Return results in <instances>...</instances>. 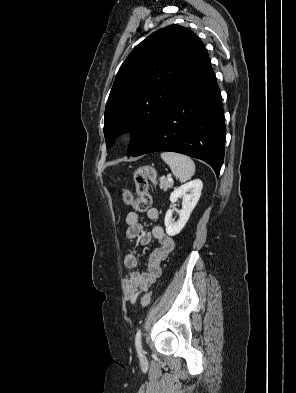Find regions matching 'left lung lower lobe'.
Listing matches in <instances>:
<instances>
[{
  "label": "left lung lower lobe",
  "mask_w": 296,
  "mask_h": 393,
  "mask_svg": "<svg viewBox=\"0 0 296 393\" xmlns=\"http://www.w3.org/2000/svg\"><path fill=\"white\" fill-rule=\"evenodd\" d=\"M224 146L221 94L208 59L131 156L157 151L177 152L207 162L218 176L224 160Z\"/></svg>",
  "instance_id": "obj_1"
}]
</instances>
